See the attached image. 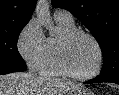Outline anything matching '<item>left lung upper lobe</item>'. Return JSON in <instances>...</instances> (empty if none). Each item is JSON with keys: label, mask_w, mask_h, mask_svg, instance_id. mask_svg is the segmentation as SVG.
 Segmentation results:
<instances>
[{"label": "left lung upper lobe", "mask_w": 119, "mask_h": 95, "mask_svg": "<svg viewBox=\"0 0 119 95\" xmlns=\"http://www.w3.org/2000/svg\"><path fill=\"white\" fill-rule=\"evenodd\" d=\"M70 11L98 41L103 54L101 78H119V0H51Z\"/></svg>", "instance_id": "1"}]
</instances>
